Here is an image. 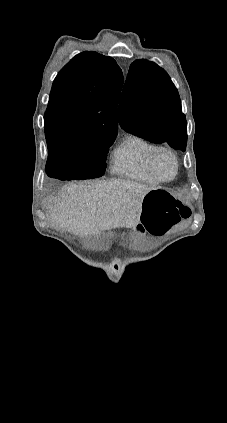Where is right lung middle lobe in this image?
<instances>
[{
  "mask_svg": "<svg viewBox=\"0 0 227 423\" xmlns=\"http://www.w3.org/2000/svg\"><path fill=\"white\" fill-rule=\"evenodd\" d=\"M116 136L69 137L47 142V163L72 167L70 180L93 179L104 174L109 147Z\"/></svg>",
  "mask_w": 227,
  "mask_h": 423,
  "instance_id": "dd1d6c3e",
  "label": "right lung middle lobe"
}]
</instances>
